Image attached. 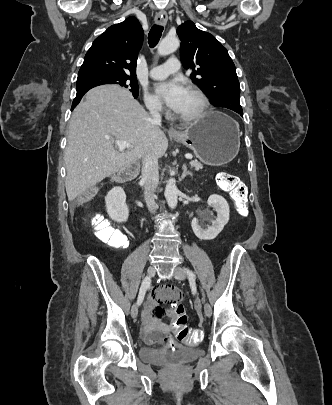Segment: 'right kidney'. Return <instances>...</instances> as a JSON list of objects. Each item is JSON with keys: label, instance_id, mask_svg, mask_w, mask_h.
I'll return each mask as SVG.
<instances>
[{"label": "right kidney", "instance_id": "right-kidney-1", "mask_svg": "<svg viewBox=\"0 0 332 405\" xmlns=\"http://www.w3.org/2000/svg\"><path fill=\"white\" fill-rule=\"evenodd\" d=\"M106 210L109 217L119 223L126 222L129 217V209L126 205V194L117 186L110 190L105 197Z\"/></svg>", "mask_w": 332, "mask_h": 405}]
</instances>
